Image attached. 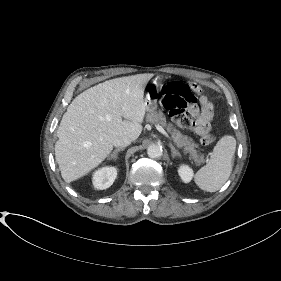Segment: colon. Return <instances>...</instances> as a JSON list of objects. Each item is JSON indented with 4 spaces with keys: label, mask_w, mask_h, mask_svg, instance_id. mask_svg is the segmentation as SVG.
I'll list each match as a JSON object with an SVG mask.
<instances>
[{
    "label": "colon",
    "mask_w": 281,
    "mask_h": 281,
    "mask_svg": "<svg viewBox=\"0 0 281 281\" xmlns=\"http://www.w3.org/2000/svg\"><path fill=\"white\" fill-rule=\"evenodd\" d=\"M200 86L195 82H169L161 87L162 105L171 116L177 118L184 127H190L193 124L192 115L186 113L189 105L196 103L197 95L200 93ZM213 134H205L201 138L204 146H210L215 142Z\"/></svg>",
    "instance_id": "1"
}]
</instances>
